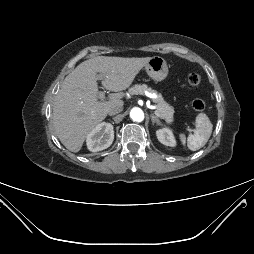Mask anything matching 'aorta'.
I'll use <instances>...</instances> for the list:
<instances>
[{
  "label": "aorta",
  "instance_id": "aorta-1",
  "mask_svg": "<svg viewBox=\"0 0 254 254\" xmlns=\"http://www.w3.org/2000/svg\"><path fill=\"white\" fill-rule=\"evenodd\" d=\"M130 117L134 121L141 122L144 119V113L140 108H133L130 111Z\"/></svg>",
  "mask_w": 254,
  "mask_h": 254
}]
</instances>
